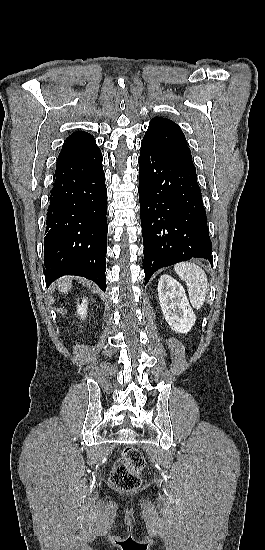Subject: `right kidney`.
Returning a JSON list of instances; mask_svg holds the SVG:
<instances>
[{
    "label": "right kidney",
    "mask_w": 265,
    "mask_h": 550,
    "mask_svg": "<svg viewBox=\"0 0 265 550\" xmlns=\"http://www.w3.org/2000/svg\"><path fill=\"white\" fill-rule=\"evenodd\" d=\"M77 313L80 315L82 319H84L87 315V299L83 298L82 303L78 304L77 306Z\"/></svg>",
    "instance_id": "ca27d5eb"
}]
</instances>
